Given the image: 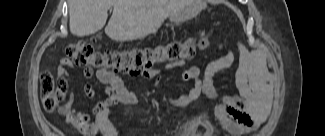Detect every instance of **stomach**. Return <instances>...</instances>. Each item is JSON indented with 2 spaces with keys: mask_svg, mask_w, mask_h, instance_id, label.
<instances>
[{
  "mask_svg": "<svg viewBox=\"0 0 325 136\" xmlns=\"http://www.w3.org/2000/svg\"><path fill=\"white\" fill-rule=\"evenodd\" d=\"M190 7H187L184 11H181L176 14H172L169 16L171 22L180 23L188 20L192 16H196L197 13L205 7V3L203 0H191Z\"/></svg>",
  "mask_w": 325,
  "mask_h": 136,
  "instance_id": "obj_1",
  "label": "stomach"
}]
</instances>
